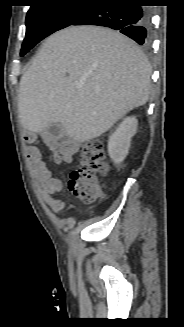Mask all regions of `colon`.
Segmentation results:
<instances>
[{
	"label": "colon",
	"instance_id": "5ec220e1",
	"mask_svg": "<svg viewBox=\"0 0 184 327\" xmlns=\"http://www.w3.org/2000/svg\"><path fill=\"white\" fill-rule=\"evenodd\" d=\"M107 170L102 143L98 140L87 142L80 153L77 169L70 175V191L84 203L95 202L103 196L100 180Z\"/></svg>",
	"mask_w": 184,
	"mask_h": 327
}]
</instances>
